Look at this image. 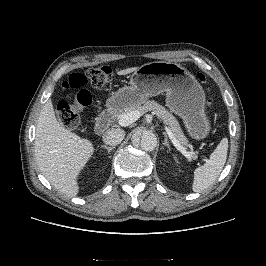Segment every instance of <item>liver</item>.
<instances>
[{"instance_id": "obj_1", "label": "liver", "mask_w": 266, "mask_h": 266, "mask_svg": "<svg viewBox=\"0 0 266 266\" xmlns=\"http://www.w3.org/2000/svg\"><path fill=\"white\" fill-rule=\"evenodd\" d=\"M123 69L118 75L136 71ZM38 167L50 184L60 193L75 197L79 192L78 176L94 153L90 140L65 129L57 120L53 104L48 100L39 114L34 141Z\"/></svg>"}]
</instances>
